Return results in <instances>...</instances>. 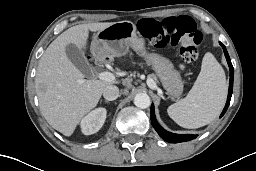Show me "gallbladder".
I'll use <instances>...</instances> for the list:
<instances>
[{"label":"gallbladder","instance_id":"bac80fb5","mask_svg":"<svg viewBox=\"0 0 256 171\" xmlns=\"http://www.w3.org/2000/svg\"><path fill=\"white\" fill-rule=\"evenodd\" d=\"M69 60L83 73H88L91 69L90 64L84 57L82 51L75 44H68L65 49Z\"/></svg>","mask_w":256,"mask_h":171}]
</instances>
